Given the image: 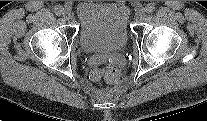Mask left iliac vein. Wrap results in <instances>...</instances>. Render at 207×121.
<instances>
[{"instance_id": "4c4485c4", "label": "left iliac vein", "mask_w": 207, "mask_h": 121, "mask_svg": "<svg viewBox=\"0 0 207 121\" xmlns=\"http://www.w3.org/2000/svg\"><path fill=\"white\" fill-rule=\"evenodd\" d=\"M146 16V10L144 8H141L140 10H138L137 12V17L139 19H143Z\"/></svg>"}]
</instances>
